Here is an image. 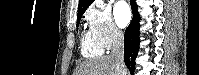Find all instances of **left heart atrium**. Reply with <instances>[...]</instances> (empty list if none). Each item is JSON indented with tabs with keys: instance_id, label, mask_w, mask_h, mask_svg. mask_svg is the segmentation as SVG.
<instances>
[{
	"instance_id": "1",
	"label": "left heart atrium",
	"mask_w": 199,
	"mask_h": 75,
	"mask_svg": "<svg viewBox=\"0 0 199 75\" xmlns=\"http://www.w3.org/2000/svg\"><path fill=\"white\" fill-rule=\"evenodd\" d=\"M114 16L117 25L121 28L125 27L129 23L131 12L126 2L120 1L116 4L114 8Z\"/></svg>"
}]
</instances>
